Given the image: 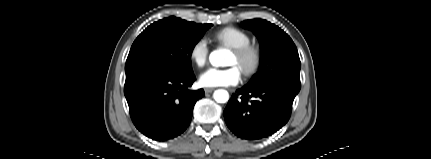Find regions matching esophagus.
<instances>
[{
    "mask_svg": "<svg viewBox=\"0 0 431 159\" xmlns=\"http://www.w3.org/2000/svg\"><path fill=\"white\" fill-rule=\"evenodd\" d=\"M204 91L205 93H211L214 91V88H205Z\"/></svg>",
    "mask_w": 431,
    "mask_h": 159,
    "instance_id": "obj_1",
    "label": "esophagus"
}]
</instances>
